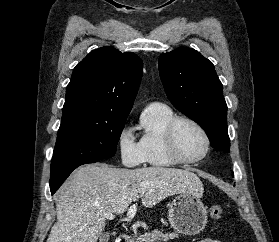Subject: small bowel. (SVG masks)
Instances as JSON below:
<instances>
[{
	"label": "small bowel",
	"instance_id": "small-bowel-1",
	"mask_svg": "<svg viewBox=\"0 0 279 242\" xmlns=\"http://www.w3.org/2000/svg\"><path fill=\"white\" fill-rule=\"evenodd\" d=\"M199 242H222V241L217 240V239H212V238H206V239H203Z\"/></svg>",
	"mask_w": 279,
	"mask_h": 242
}]
</instances>
